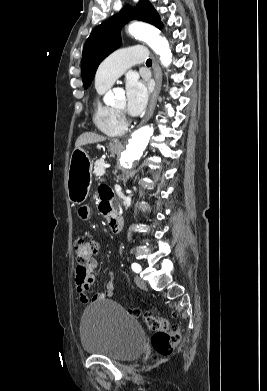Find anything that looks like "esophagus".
I'll use <instances>...</instances> for the list:
<instances>
[{
	"label": "esophagus",
	"mask_w": 267,
	"mask_h": 391,
	"mask_svg": "<svg viewBox=\"0 0 267 391\" xmlns=\"http://www.w3.org/2000/svg\"><path fill=\"white\" fill-rule=\"evenodd\" d=\"M153 71H154V78H155V89L151 95V99H150L147 113H146L145 117L143 118V120L141 121L140 125L147 122L150 119V117L152 116L155 105H156L157 97H158V94H159V92L161 90V86H162V71H161V68H160L158 61L154 57H153ZM120 144H121L120 142L115 143L116 146H119Z\"/></svg>",
	"instance_id": "esophagus-1"
}]
</instances>
